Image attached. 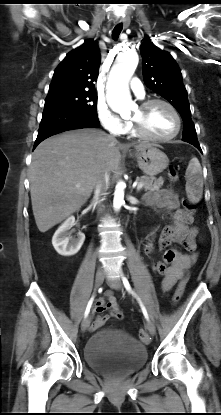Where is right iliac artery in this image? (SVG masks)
<instances>
[{
    "label": "right iliac artery",
    "instance_id": "right-iliac-artery-1",
    "mask_svg": "<svg viewBox=\"0 0 221 415\" xmlns=\"http://www.w3.org/2000/svg\"><path fill=\"white\" fill-rule=\"evenodd\" d=\"M93 301H94V296L91 297V299L89 300V302L87 304V307H86V310H85V313H84V317L85 318L88 316V314L90 312V309H91V306L93 304Z\"/></svg>",
    "mask_w": 221,
    "mask_h": 415
}]
</instances>
